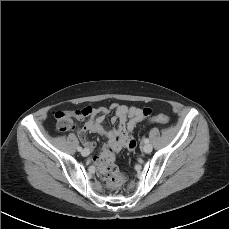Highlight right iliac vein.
Returning <instances> with one entry per match:
<instances>
[{"mask_svg": "<svg viewBox=\"0 0 229 229\" xmlns=\"http://www.w3.org/2000/svg\"><path fill=\"white\" fill-rule=\"evenodd\" d=\"M89 154H90V151L87 150V149H84V150L82 151V155H83V156H88Z\"/></svg>", "mask_w": 229, "mask_h": 229, "instance_id": "63e3f726", "label": "right iliac vein"}]
</instances>
